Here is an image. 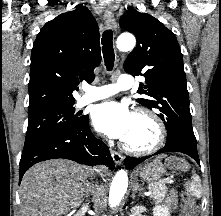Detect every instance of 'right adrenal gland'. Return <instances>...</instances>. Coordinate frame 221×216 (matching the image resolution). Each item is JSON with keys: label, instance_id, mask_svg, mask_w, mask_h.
Instances as JSON below:
<instances>
[{"label": "right adrenal gland", "instance_id": "2a0ac1e0", "mask_svg": "<svg viewBox=\"0 0 221 216\" xmlns=\"http://www.w3.org/2000/svg\"><path fill=\"white\" fill-rule=\"evenodd\" d=\"M90 187H89V185H88V189H87V191H86V198H88L89 197V193H90Z\"/></svg>", "mask_w": 221, "mask_h": 216}]
</instances>
